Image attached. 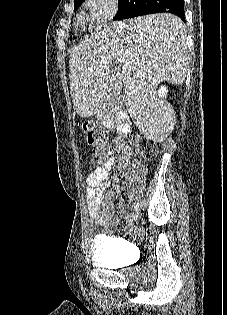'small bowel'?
I'll return each mask as SVG.
<instances>
[{
  "mask_svg": "<svg viewBox=\"0 0 227 315\" xmlns=\"http://www.w3.org/2000/svg\"><path fill=\"white\" fill-rule=\"evenodd\" d=\"M105 153L107 155L105 162L90 173L85 181L87 190L86 208L92 230L111 220L114 213L112 196L105 193L106 188L110 184L108 175L111 167L117 161L119 168L122 169L132 161L130 150L119 143L115 144L114 148L106 150ZM117 179V175L113 176V180ZM117 195L119 197L120 209L125 214L127 207L119 191H117ZM128 229L132 233L138 230L134 224H130Z\"/></svg>",
  "mask_w": 227,
  "mask_h": 315,
  "instance_id": "small-bowel-1",
  "label": "small bowel"
}]
</instances>
